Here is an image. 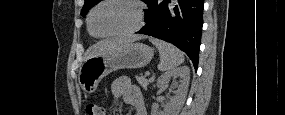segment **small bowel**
<instances>
[{
    "mask_svg": "<svg viewBox=\"0 0 285 115\" xmlns=\"http://www.w3.org/2000/svg\"><path fill=\"white\" fill-rule=\"evenodd\" d=\"M111 90L115 98L122 99L134 109V115H146V105L140 89L127 77L113 80Z\"/></svg>",
    "mask_w": 285,
    "mask_h": 115,
    "instance_id": "1",
    "label": "small bowel"
}]
</instances>
